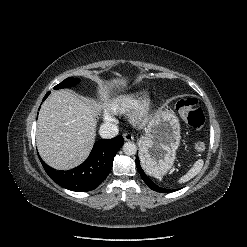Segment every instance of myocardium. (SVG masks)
Masks as SVG:
<instances>
[{
	"mask_svg": "<svg viewBox=\"0 0 247 247\" xmlns=\"http://www.w3.org/2000/svg\"><path fill=\"white\" fill-rule=\"evenodd\" d=\"M152 111V101L149 98L142 99L130 112V120L133 124L146 122Z\"/></svg>",
	"mask_w": 247,
	"mask_h": 247,
	"instance_id": "myocardium-1",
	"label": "myocardium"
}]
</instances>
